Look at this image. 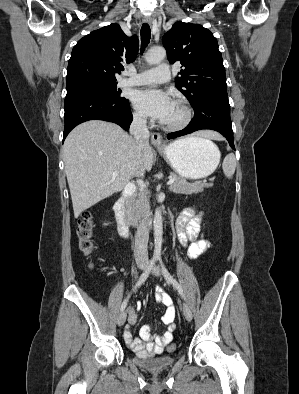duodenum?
<instances>
[{
    "label": "duodenum",
    "mask_w": 299,
    "mask_h": 394,
    "mask_svg": "<svg viewBox=\"0 0 299 394\" xmlns=\"http://www.w3.org/2000/svg\"><path fill=\"white\" fill-rule=\"evenodd\" d=\"M135 191V184L129 183L114 204V209L117 213V218L119 222L118 230L122 236L127 235L131 229L130 217L127 211V204Z\"/></svg>",
    "instance_id": "410a0bca"
}]
</instances>
